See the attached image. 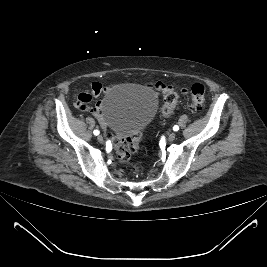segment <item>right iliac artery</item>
I'll return each mask as SVG.
<instances>
[{"mask_svg":"<svg viewBox=\"0 0 267 267\" xmlns=\"http://www.w3.org/2000/svg\"><path fill=\"white\" fill-rule=\"evenodd\" d=\"M94 135H98L100 132H99V130H94Z\"/></svg>","mask_w":267,"mask_h":267,"instance_id":"82829eb1","label":"right iliac artery"}]
</instances>
